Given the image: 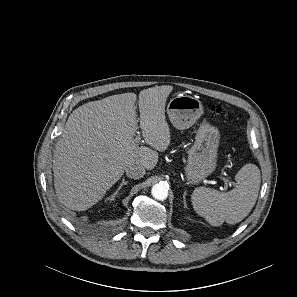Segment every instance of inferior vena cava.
<instances>
[{
  "instance_id": "1",
  "label": "inferior vena cava",
  "mask_w": 297,
  "mask_h": 297,
  "mask_svg": "<svg viewBox=\"0 0 297 297\" xmlns=\"http://www.w3.org/2000/svg\"><path fill=\"white\" fill-rule=\"evenodd\" d=\"M125 172L131 179H140L145 175V168L140 165H129L125 169Z\"/></svg>"
}]
</instances>
